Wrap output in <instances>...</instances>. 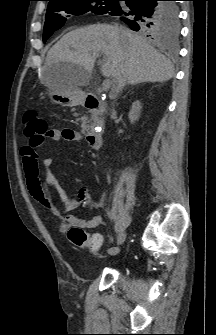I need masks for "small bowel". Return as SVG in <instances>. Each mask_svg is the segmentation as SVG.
I'll return each instance as SVG.
<instances>
[{"mask_svg":"<svg viewBox=\"0 0 216 335\" xmlns=\"http://www.w3.org/2000/svg\"><path fill=\"white\" fill-rule=\"evenodd\" d=\"M81 139V135L72 129H51L48 130L46 138L44 142L45 144L48 140L53 141H79ZM22 160H23V169L24 175L26 179V184L30 194L41 204V206L48 211L50 214L56 216L61 224L60 229L62 231H67L71 227H80V228H95L102 226L104 224V220L101 216L96 215L88 220L81 219L75 215L67 214L78 208L80 203H85L90 206H98V201L91 200L84 193L79 194L78 199H74L70 197L62 188L56 185L53 174L51 171L52 159L46 157L43 160V167L45 173V181L47 184L52 186L58 193L60 199L63 204L61 206L55 204L50 197L48 196L46 189L42 186L40 181V170L38 165V154L32 149L30 146H24L21 149ZM93 237L102 236L98 233L92 235ZM97 251V250H96Z\"/></svg>","mask_w":216,"mask_h":335,"instance_id":"obj_1","label":"small bowel"}]
</instances>
